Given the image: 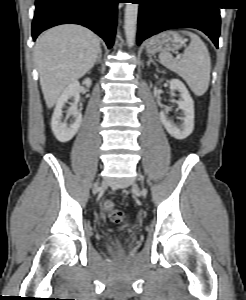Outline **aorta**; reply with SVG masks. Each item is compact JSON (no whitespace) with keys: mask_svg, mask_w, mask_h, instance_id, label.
Listing matches in <instances>:
<instances>
[{"mask_svg":"<svg viewBox=\"0 0 246 300\" xmlns=\"http://www.w3.org/2000/svg\"><path fill=\"white\" fill-rule=\"evenodd\" d=\"M138 15V4L126 3L124 13V30L128 45H134L136 36V24Z\"/></svg>","mask_w":246,"mask_h":300,"instance_id":"aorta-1","label":"aorta"}]
</instances>
